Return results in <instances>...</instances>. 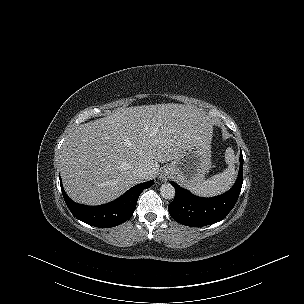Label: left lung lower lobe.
Instances as JSON below:
<instances>
[{"label": "left lung lower lobe", "instance_id": "1", "mask_svg": "<svg viewBox=\"0 0 304 304\" xmlns=\"http://www.w3.org/2000/svg\"><path fill=\"white\" fill-rule=\"evenodd\" d=\"M243 183V155L240 153V167L237 180L226 193L201 198L181 188L175 182L176 196L168 206L171 217L180 224L192 227L214 224L224 219L235 206Z\"/></svg>", "mask_w": 304, "mask_h": 304}]
</instances>
